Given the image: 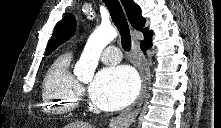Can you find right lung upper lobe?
<instances>
[{"label":"right lung upper lobe","mask_w":221,"mask_h":128,"mask_svg":"<svg viewBox=\"0 0 221 128\" xmlns=\"http://www.w3.org/2000/svg\"><path fill=\"white\" fill-rule=\"evenodd\" d=\"M131 25L140 31H143L145 41H148L152 37V32L144 29L145 19L141 15L140 7L133 0H121ZM75 31V19L71 14L66 15L62 21L57 25L53 36L47 47V54H50L61 43L69 39Z\"/></svg>","instance_id":"right-lung-upper-lobe-1"}]
</instances>
